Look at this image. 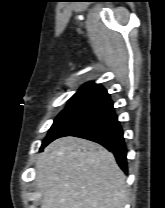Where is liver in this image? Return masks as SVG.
<instances>
[{"instance_id":"obj_1","label":"liver","mask_w":165,"mask_h":208,"mask_svg":"<svg viewBox=\"0 0 165 208\" xmlns=\"http://www.w3.org/2000/svg\"><path fill=\"white\" fill-rule=\"evenodd\" d=\"M41 208H124L126 177L112 153L77 137L50 143L37 158Z\"/></svg>"}]
</instances>
